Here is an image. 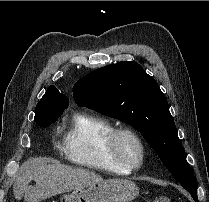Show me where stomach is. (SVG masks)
Instances as JSON below:
<instances>
[{
	"instance_id": "0dacf381",
	"label": "stomach",
	"mask_w": 209,
	"mask_h": 202,
	"mask_svg": "<svg viewBox=\"0 0 209 202\" xmlns=\"http://www.w3.org/2000/svg\"><path fill=\"white\" fill-rule=\"evenodd\" d=\"M138 195L139 187L134 182L112 179L75 189L60 202H131Z\"/></svg>"
}]
</instances>
